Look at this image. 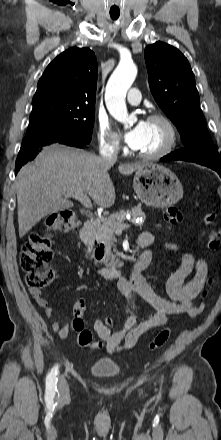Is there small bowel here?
<instances>
[{
  "instance_id": "c3829d8e",
  "label": "small bowel",
  "mask_w": 221,
  "mask_h": 440,
  "mask_svg": "<svg viewBox=\"0 0 221 440\" xmlns=\"http://www.w3.org/2000/svg\"><path fill=\"white\" fill-rule=\"evenodd\" d=\"M153 241L152 234L148 232H143L139 236L138 246L143 248L144 251L136 263L144 258L151 261L152 251L150 247ZM170 248L178 249L176 245H171ZM135 264L128 276L121 277L116 281V289L128 306V315L123 327L118 331H112L105 328L102 319L96 320L94 323V331L99 339L105 342L106 350L109 353L132 348L147 331L166 325L171 315L187 314L190 317H196L203 309V304L194 305L193 301L206 281L207 264L205 260L195 258L189 253H182L180 266L171 274L166 284L169 299L161 297L155 291L152 285L136 270ZM192 272H194V276L187 281V277ZM29 294L35 304L44 310L45 316L47 318L52 317L53 308L41 295V291L29 288ZM136 296L142 298L154 309L142 321L138 320ZM71 310L73 312V308ZM51 327L60 339L67 338L69 333L68 323L61 325L55 321Z\"/></svg>"
}]
</instances>
